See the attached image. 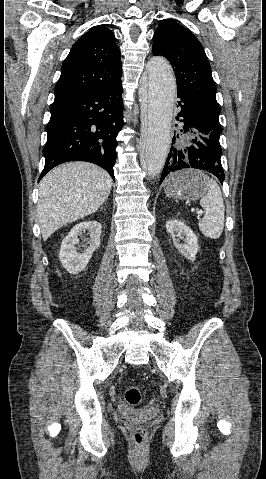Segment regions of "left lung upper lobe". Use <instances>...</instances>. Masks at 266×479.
I'll use <instances>...</instances> for the list:
<instances>
[{
    "instance_id": "left-lung-upper-lobe-1",
    "label": "left lung upper lobe",
    "mask_w": 266,
    "mask_h": 479,
    "mask_svg": "<svg viewBox=\"0 0 266 479\" xmlns=\"http://www.w3.org/2000/svg\"><path fill=\"white\" fill-rule=\"evenodd\" d=\"M152 52L166 57L173 66L177 94L190 100L222 132L211 67L193 33L176 21L165 19L155 31Z\"/></svg>"
}]
</instances>
